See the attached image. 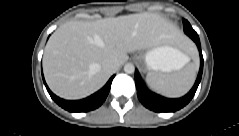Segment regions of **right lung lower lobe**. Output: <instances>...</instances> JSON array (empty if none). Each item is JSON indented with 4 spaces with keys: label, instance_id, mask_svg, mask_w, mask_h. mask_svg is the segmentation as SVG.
Listing matches in <instances>:
<instances>
[{
    "label": "right lung lower lobe",
    "instance_id": "right-lung-lower-lobe-1",
    "mask_svg": "<svg viewBox=\"0 0 239 136\" xmlns=\"http://www.w3.org/2000/svg\"><path fill=\"white\" fill-rule=\"evenodd\" d=\"M42 77H43V74H42ZM113 78H114V76H112L109 79V81L106 83V85L102 89H100L98 92L94 93L93 95H91L85 99L76 100V101L64 100V99L57 97L48 88V86L44 80V77H43V81H44V84H45L47 91L50 94L51 98L59 106H61L62 108H64L65 110H67L69 112H87V111L94 110V109L98 108L105 101V99L110 91V87H111Z\"/></svg>",
    "mask_w": 239,
    "mask_h": 136
}]
</instances>
